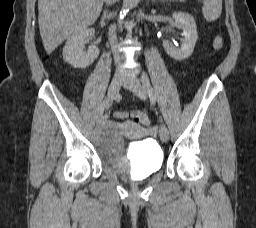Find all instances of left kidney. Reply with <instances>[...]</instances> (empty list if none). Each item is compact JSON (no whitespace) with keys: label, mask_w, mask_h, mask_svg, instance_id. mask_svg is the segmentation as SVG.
I'll return each instance as SVG.
<instances>
[{"label":"left kidney","mask_w":256,"mask_h":228,"mask_svg":"<svg viewBox=\"0 0 256 228\" xmlns=\"http://www.w3.org/2000/svg\"><path fill=\"white\" fill-rule=\"evenodd\" d=\"M173 19L174 26L183 30L184 39L180 48L171 46L168 40L163 41V47L171 58L181 61L193 53L198 38L197 28L194 18L188 13L175 12Z\"/></svg>","instance_id":"obj_1"}]
</instances>
